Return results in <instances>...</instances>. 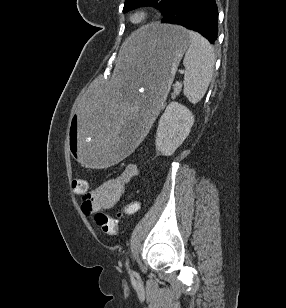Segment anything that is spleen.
Masks as SVG:
<instances>
[{"instance_id": "spleen-1", "label": "spleen", "mask_w": 286, "mask_h": 308, "mask_svg": "<svg viewBox=\"0 0 286 308\" xmlns=\"http://www.w3.org/2000/svg\"><path fill=\"white\" fill-rule=\"evenodd\" d=\"M191 38L183 64L185 66L183 93L192 103H198L210 84L215 64V54L210 43L194 31H188Z\"/></svg>"}]
</instances>
